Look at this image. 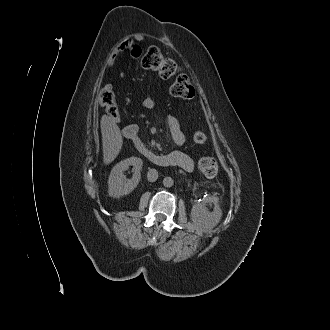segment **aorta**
<instances>
[{"instance_id":"aorta-1","label":"aorta","mask_w":330,"mask_h":330,"mask_svg":"<svg viewBox=\"0 0 330 330\" xmlns=\"http://www.w3.org/2000/svg\"><path fill=\"white\" fill-rule=\"evenodd\" d=\"M173 184H174V181H173V179H172L171 177H165V178L163 179V185H164L165 187H172Z\"/></svg>"}]
</instances>
